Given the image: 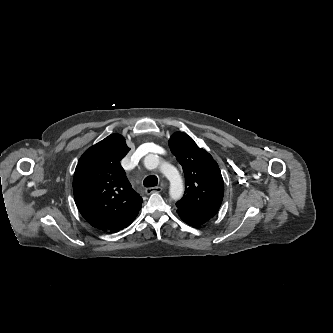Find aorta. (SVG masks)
<instances>
[{
	"label": "aorta",
	"instance_id": "1",
	"mask_svg": "<svg viewBox=\"0 0 333 333\" xmlns=\"http://www.w3.org/2000/svg\"><path fill=\"white\" fill-rule=\"evenodd\" d=\"M158 161V157L153 154H149L145 158V164L150 167H155L156 162ZM161 171L166 175L169 180V194L173 200H178L182 197L184 192V187L182 180L178 174V172L169 165L163 164L161 166Z\"/></svg>",
	"mask_w": 333,
	"mask_h": 333
}]
</instances>
